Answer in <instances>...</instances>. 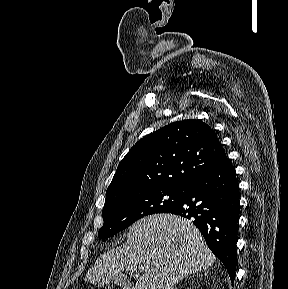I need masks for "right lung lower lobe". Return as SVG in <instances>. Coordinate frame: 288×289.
<instances>
[{
	"label": "right lung lower lobe",
	"mask_w": 288,
	"mask_h": 289,
	"mask_svg": "<svg viewBox=\"0 0 288 289\" xmlns=\"http://www.w3.org/2000/svg\"><path fill=\"white\" fill-rule=\"evenodd\" d=\"M238 192L234 168L225 155L193 178L184 187L181 201L168 212L193 221L209 248L225 265L231 282L237 265Z\"/></svg>",
	"instance_id": "right-lung-lower-lobe-1"
}]
</instances>
